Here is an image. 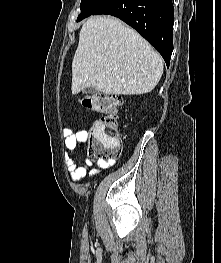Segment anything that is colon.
<instances>
[{
    "instance_id": "colon-1",
    "label": "colon",
    "mask_w": 221,
    "mask_h": 263,
    "mask_svg": "<svg viewBox=\"0 0 221 263\" xmlns=\"http://www.w3.org/2000/svg\"><path fill=\"white\" fill-rule=\"evenodd\" d=\"M80 105L102 114L89 128V154L98 159H115L120 155L121 142L118 134V112L122 107L121 97L109 93L84 95Z\"/></svg>"
}]
</instances>
